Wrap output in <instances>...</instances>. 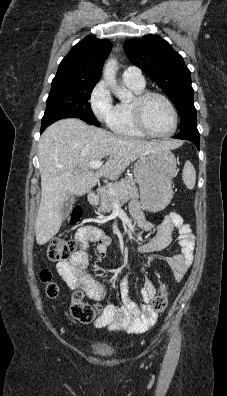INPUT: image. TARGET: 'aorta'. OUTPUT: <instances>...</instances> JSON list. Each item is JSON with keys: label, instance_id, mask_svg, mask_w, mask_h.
Returning a JSON list of instances; mask_svg holds the SVG:
<instances>
[{"label": "aorta", "instance_id": "aorta-1", "mask_svg": "<svg viewBox=\"0 0 227 396\" xmlns=\"http://www.w3.org/2000/svg\"><path fill=\"white\" fill-rule=\"evenodd\" d=\"M117 61L109 59L104 66V79L107 85L111 88L112 92L119 99H125L129 96V91L118 87L116 81Z\"/></svg>", "mask_w": 227, "mask_h": 396}]
</instances>
